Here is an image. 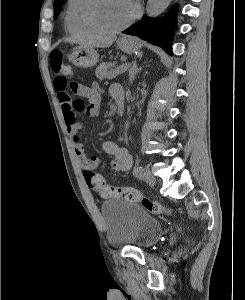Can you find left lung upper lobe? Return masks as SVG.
Masks as SVG:
<instances>
[{
    "instance_id": "5c2ea615",
    "label": "left lung upper lobe",
    "mask_w": 245,
    "mask_h": 300,
    "mask_svg": "<svg viewBox=\"0 0 245 300\" xmlns=\"http://www.w3.org/2000/svg\"><path fill=\"white\" fill-rule=\"evenodd\" d=\"M65 0H55L54 1V18H57L61 12V7L64 4Z\"/></svg>"
}]
</instances>
